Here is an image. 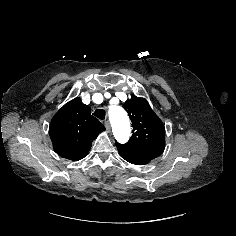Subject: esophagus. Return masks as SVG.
<instances>
[{"instance_id":"obj_1","label":"esophagus","mask_w":236,"mask_h":236,"mask_svg":"<svg viewBox=\"0 0 236 236\" xmlns=\"http://www.w3.org/2000/svg\"><path fill=\"white\" fill-rule=\"evenodd\" d=\"M104 125H105L106 130L109 132L111 129L109 121L105 120Z\"/></svg>"}]
</instances>
